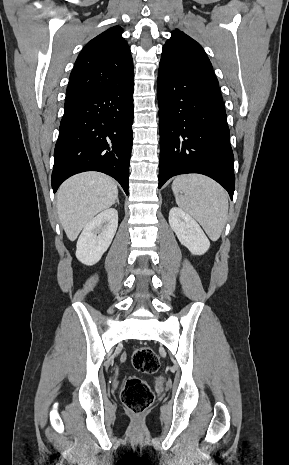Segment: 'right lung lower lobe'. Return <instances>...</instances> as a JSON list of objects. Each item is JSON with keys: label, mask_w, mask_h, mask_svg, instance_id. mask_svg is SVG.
I'll use <instances>...</instances> for the list:
<instances>
[{"label": "right lung lower lobe", "mask_w": 289, "mask_h": 465, "mask_svg": "<svg viewBox=\"0 0 289 465\" xmlns=\"http://www.w3.org/2000/svg\"><path fill=\"white\" fill-rule=\"evenodd\" d=\"M134 75L125 83L65 104L54 151V193L68 177L100 171L128 195Z\"/></svg>", "instance_id": "right-lung-lower-lobe-1"}]
</instances>
